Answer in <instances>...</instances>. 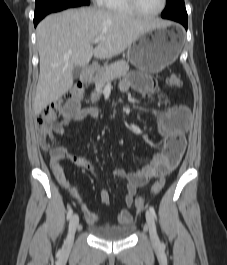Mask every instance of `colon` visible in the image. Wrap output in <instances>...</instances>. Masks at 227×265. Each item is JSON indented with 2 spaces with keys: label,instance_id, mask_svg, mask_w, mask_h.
<instances>
[{
  "label": "colon",
  "instance_id": "5ec220e1",
  "mask_svg": "<svg viewBox=\"0 0 227 265\" xmlns=\"http://www.w3.org/2000/svg\"><path fill=\"white\" fill-rule=\"evenodd\" d=\"M167 83L171 87H181L183 81L179 75L171 74L167 79ZM82 95V87L80 85H75L65 94L64 98L51 103L38 114L37 125L40 130V143L43 148L49 149L52 147V124L61 112L62 102H65L68 96H77L78 99H81ZM167 160L169 165L174 167L178 163L179 157L177 155H169ZM164 184V178L157 180L152 186V193L158 194L163 189ZM135 205L138 209H142L145 206V200L142 197H137L135 199Z\"/></svg>",
  "mask_w": 227,
  "mask_h": 265
}]
</instances>
